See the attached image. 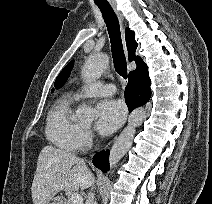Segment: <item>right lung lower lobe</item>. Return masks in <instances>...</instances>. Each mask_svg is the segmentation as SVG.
<instances>
[{
  "label": "right lung lower lobe",
  "instance_id": "obj_1",
  "mask_svg": "<svg viewBox=\"0 0 212 204\" xmlns=\"http://www.w3.org/2000/svg\"><path fill=\"white\" fill-rule=\"evenodd\" d=\"M151 97L150 78L147 66L142 65L129 74L128 85L125 89V101L131 112L146 104ZM109 151H101L93 158V164L103 172L109 171Z\"/></svg>",
  "mask_w": 212,
  "mask_h": 204
}]
</instances>
